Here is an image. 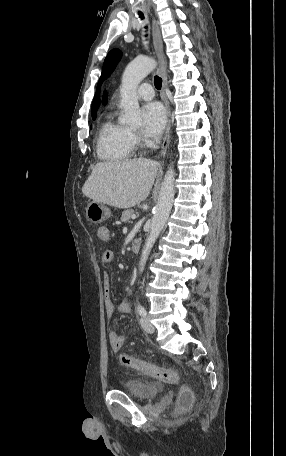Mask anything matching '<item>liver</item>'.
Returning <instances> with one entry per match:
<instances>
[{"instance_id":"6515ba94","label":"liver","mask_w":286,"mask_h":456,"mask_svg":"<svg viewBox=\"0 0 286 456\" xmlns=\"http://www.w3.org/2000/svg\"><path fill=\"white\" fill-rule=\"evenodd\" d=\"M157 171L158 163L146 158L100 162L82 192L94 202L130 208L148 197Z\"/></svg>"}]
</instances>
